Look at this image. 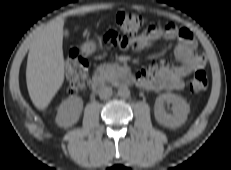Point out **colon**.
Instances as JSON below:
<instances>
[{
    "instance_id": "colon-1",
    "label": "colon",
    "mask_w": 231,
    "mask_h": 170,
    "mask_svg": "<svg viewBox=\"0 0 231 170\" xmlns=\"http://www.w3.org/2000/svg\"><path fill=\"white\" fill-rule=\"evenodd\" d=\"M115 22L120 31L134 37L139 34L145 20L144 17L127 11L118 12ZM66 74L68 79L67 92L75 95L83 92L89 83L88 79V62L77 49H72L66 58ZM208 87V76L202 69L195 71L189 84V89L193 93H199Z\"/></svg>"
}]
</instances>
